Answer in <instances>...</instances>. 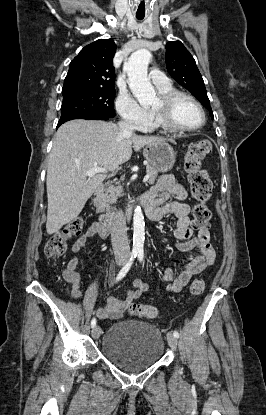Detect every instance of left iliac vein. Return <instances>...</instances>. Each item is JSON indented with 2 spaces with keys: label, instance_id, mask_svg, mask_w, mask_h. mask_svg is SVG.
I'll return each mask as SVG.
<instances>
[{
  "label": "left iliac vein",
  "instance_id": "left-iliac-vein-1",
  "mask_svg": "<svg viewBox=\"0 0 266 415\" xmlns=\"http://www.w3.org/2000/svg\"><path fill=\"white\" fill-rule=\"evenodd\" d=\"M167 340H168V344H169V346H170L173 350H176V348H177V339H176V337H175L173 334L168 333V334H167Z\"/></svg>",
  "mask_w": 266,
  "mask_h": 415
}]
</instances>
